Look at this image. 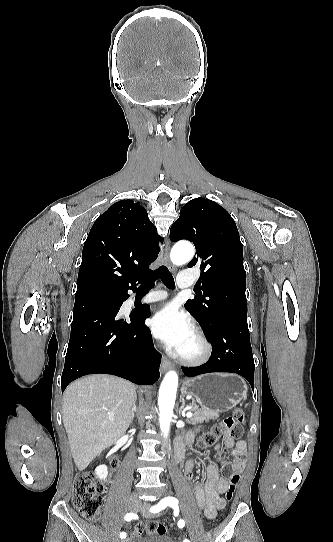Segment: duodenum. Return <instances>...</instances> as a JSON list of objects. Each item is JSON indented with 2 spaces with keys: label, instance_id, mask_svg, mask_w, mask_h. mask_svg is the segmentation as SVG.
Returning <instances> with one entry per match:
<instances>
[{
  "label": "duodenum",
  "instance_id": "duodenum-1",
  "mask_svg": "<svg viewBox=\"0 0 333 542\" xmlns=\"http://www.w3.org/2000/svg\"><path fill=\"white\" fill-rule=\"evenodd\" d=\"M194 441V435L192 433H187L185 435H181L176 439L175 442V456L176 460L180 462L183 458L184 451H185V445L191 444Z\"/></svg>",
  "mask_w": 333,
  "mask_h": 542
}]
</instances>
